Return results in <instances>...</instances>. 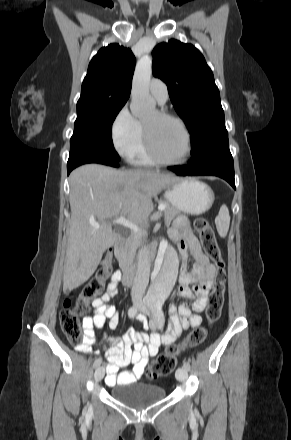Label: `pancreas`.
<instances>
[{"label": "pancreas", "instance_id": "pancreas-1", "mask_svg": "<svg viewBox=\"0 0 291 440\" xmlns=\"http://www.w3.org/2000/svg\"><path fill=\"white\" fill-rule=\"evenodd\" d=\"M160 204L165 205L164 219L165 224L169 225L171 221L180 213V211L170 205L167 201H160ZM142 242L143 236L141 234H131V236L120 247V255L118 256L120 265L133 263L136 256V251Z\"/></svg>", "mask_w": 291, "mask_h": 440}]
</instances>
